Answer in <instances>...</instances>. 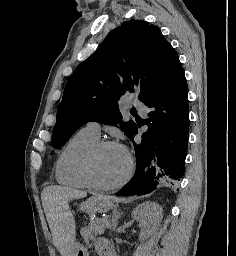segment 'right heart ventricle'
Listing matches in <instances>:
<instances>
[{
    "mask_svg": "<svg viewBox=\"0 0 236 256\" xmlns=\"http://www.w3.org/2000/svg\"><path fill=\"white\" fill-rule=\"evenodd\" d=\"M98 143L99 140L84 129L75 133L56 160V181L66 187L90 188L85 176V164L89 153Z\"/></svg>",
    "mask_w": 236,
    "mask_h": 256,
    "instance_id": "right-heart-ventricle-1",
    "label": "right heart ventricle"
}]
</instances>
